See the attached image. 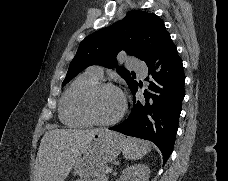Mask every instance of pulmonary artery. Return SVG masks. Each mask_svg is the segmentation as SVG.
Returning a JSON list of instances; mask_svg holds the SVG:
<instances>
[{"label": "pulmonary artery", "instance_id": "e3ab8cb5", "mask_svg": "<svg viewBox=\"0 0 228 181\" xmlns=\"http://www.w3.org/2000/svg\"><path fill=\"white\" fill-rule=\"evenodd\" d=\"M127 62H136L137 58L136 57H127L126 58ZM93 70H87V75H94L96 77H101V74H97V70L99 69L98 65H93L92 66ZM147 66H135V71H147Z\"/></svg>", "mask_w": 228, "mask_h": 181}]
</instances>
